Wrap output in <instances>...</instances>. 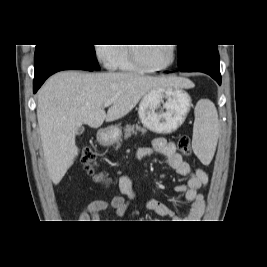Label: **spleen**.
<instances>
[{
    "label": "spleen",
    "instance_id": "3e777b00",
    "mask_svg": "<svg viewBox=\"0 0 267 267\" xmlns=\"http://www.w3.org/2000/svg\"><path fill=\"white\" fill-rule=\"evenodd\" d=\"M219 133L218 114L213 104L202 102L197 108L192 147L198 158L208 164L214 155Z\"/></svg>",
    "mask_w": 267,
    "mask_h": 267
}]
</instances>
